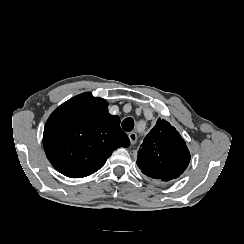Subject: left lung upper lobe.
<instances>
[{"instance_id": "obj_1", "label": "left lung upper lobe", "mask_w": 244, "mask_h": 244, "mask_svg": "<svg viewBox=\"0 0 244 244\" xmlns=\"http://www.w3.org/2000/svg\"><path fill=\"white\" fill-rule=\"evenodd\" d=\"M189 162L190 153L183 138L169 122L158 119L138 151L137 165L142 173L155 181L167 182L178 178Z\"/></svg>"}]
</instances>
